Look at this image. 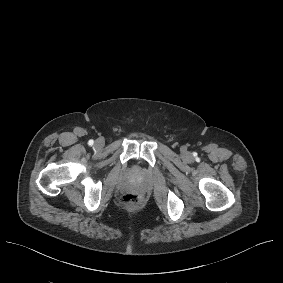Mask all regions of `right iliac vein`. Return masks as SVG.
I'll return each instance as SVG.
<instances>
[{"mask_svg": "<svg viewBox=\"0 0 283 283\" xmlns=\"http://www.w3.org/2000/svg\"><path fill=\"white\" fill-rule=\"evenodd\" d=\"M104 141L102 140V139H97L96 141H95V144H94V146L96 147V148H98V149H100V148H102L103 146H104Z\"/></svg>", "mask_w": 283, "mask_h": 283, "instance_id": "1", "label": "right iliac vein"}]
</instances>
